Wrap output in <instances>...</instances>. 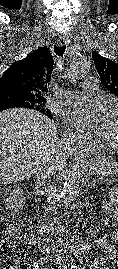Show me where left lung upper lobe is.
<instances>
[{"label":"left lung upper lobe","mask_w":118,"mask_h":269,"mask_svg":"<svg viewBox=\"0 0 118 269\" xmlns=\"http://www.w3.org/2000/svg\"><path fill=\"white\" fill-rule=\"evenodd\" d=\"M92 58L103 85L118 96V64L100 56L98 52H93Z\"/></svg>","instance_id":"5c2ea615"}]
</instances>
